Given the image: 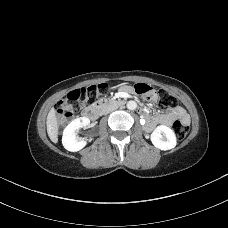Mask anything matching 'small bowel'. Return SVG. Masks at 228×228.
Wrapping results in <instances>:
<instances>
[{
	"label": "small bowel",
	"mask_w": 228,
	"mask_h": 228,
	"mask_svg": "<svg viewBox=\"0 0 228 228\" xmlns=\"http://www.w3.org/2000/svg\"><path fill=\"white\" fill-rule=\"evenodd\" d=\"M132 91H133L132 88L129 86H123L121 88V92L124 94L131 93ZM151 98L153 100L156 99L155 93H153L151 95ZM143 112L146 113L145 110H143ZM157 117L160 121L156 124H162V125H170L175 118L181 119L185 124H187L189 122L188 114L186 113V111L184 110L183 107L178 106V105L173 107V109L169 113L162 114V115H159ZM154 126H155V124L152 127H146V128L148 130H151Z\"/></svg>",
	"instance_id": "1"
}]
</instances>
